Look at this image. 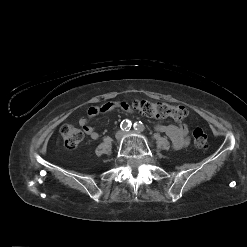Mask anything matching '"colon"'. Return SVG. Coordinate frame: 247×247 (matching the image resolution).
Here are the masks:
<instances>
[{"label":"colon","mask_w":247,"mask_h":247,"mask_svg":"<svg viewBox=\"0 0 247 247\" xmlns=\"http://www.w3.org/2000/svg\"><path fill=\"white\" fill-rule=\"evenodd\" d=\"M134 107L141 113L154 118H172L176 121L185 119L188 111L181 105H169L163 102H154L150 100H136ZM60 133L63 139L64 146L68 149L76 148L83 140V133L80 129L65 124L61 127ZM193 141L196 147L204 148L207 144V135L201 128L193 130Z\"/></svg>","instance_id":"obj_1"}]
</instances>
